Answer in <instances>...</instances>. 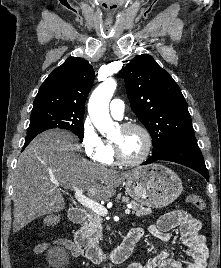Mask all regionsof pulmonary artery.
<instances>
[{"mask_svg":"<svg viewBox=\"0 0 221 268\" xmlns=\"http://www.w3.org/2000/svg\"><path fill=\"white\" fill-rule=\"evenodd\" d=\"M111 115L116 119H121L124 115V103L120 99H113L109 105Z\"/></svg>","mask_w":221,"mask_h":268,"instance_id":"1","label":"pulmonary artery"}]
</instances>
